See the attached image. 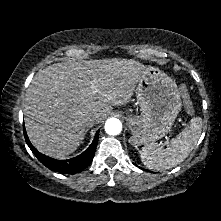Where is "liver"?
<instances>
[{
    "label": "liver",
    "mask_w": 221,
    "mask_h": 221,
    "mask_svg": "<svg viewBox=\"0 0 221 221\" xmlns=\"http://www.w3.org/2000/svg\"><path fill=\"white\" fill-rule=\"evenodd\" d=\"M145 66L113 58L55 63L40 70L26 92L24 121L31 143L64 159L84 138L88 115L101 122L112 106L127 104Z\"/></svg>",
    "instance_id": "liver-1"
}]
</instances>
